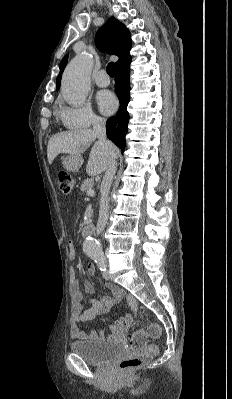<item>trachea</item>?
<instances>
[{
    "label": "trachea",
    "mask_w": 232,
    "mask_h": 399,
    "mask_svg": "<svg viewBox=\"0 0 232 399\" xmlns=\"http://www.w3.org/2000/svg\"><path fill=\"white\" fill-rule=\"evenodd\" d=\"M107 73L110 75V77H114L115 75V64L113 62H110L107 67Z\"/></svg>",
    "instance_id": "3493384b"
}]
</instances>
